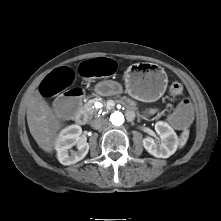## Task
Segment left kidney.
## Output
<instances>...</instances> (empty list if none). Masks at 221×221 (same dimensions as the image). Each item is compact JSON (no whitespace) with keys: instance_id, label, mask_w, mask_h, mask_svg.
<instances>
[{"instance_id":"5707ae66","label":"left kidney","mask_w":221,"mask_h":221,"mask_svg":"<svg viewBox=\"0 0 221 221\" xmlns=\"http://www.w3.org/2000/svg\"><path fill=\"white\" fill-rule=\"evenodd\" d=\"M155 131L161 142L157 144L152 138L143 139L144 148L157 158H168L177 150L179 140L177 134L166 122L159 121L155 124Z\"/></svg>"}]
</instances>
